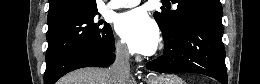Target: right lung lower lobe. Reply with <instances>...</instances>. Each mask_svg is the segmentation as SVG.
I'll list each match as a JSON object with an SVG mask.
<instances>
[{"label":"right lung lower lobe","instance_id":"obj_1","mask_svg":"<svg viewBox=\"0 0 260 84\" xmlns=\"http://www.w3.org/2000/svg\"><path fill=\"white\" fill-rule=\"evenodd\" d=\"M114 41V39H113ZM115 45L108 50L82 48L65 55L51 69L45 71L44 84H54L66 73L82 67H107L114 62Z\"/></svg>","mask_w":260,"mask_h":84}]
</instances>
